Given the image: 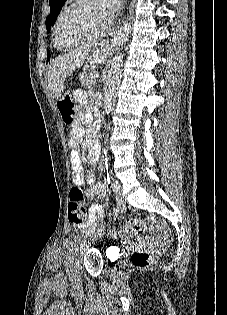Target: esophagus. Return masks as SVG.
<instances>
[{"mask_svg":"<svg viewBox=\"0 0 227 315\" xmlns=\"http://www.w3.org/2000/svg\"><path fill=\"white\" fill-rule=\"evenodd\" d=\"M116 34H117V33H115V34H114V39H116V38H117Z\"/></svg>","mask_w":227,"mask_h":315,"instance_id":"1","label":"esophagus"}]
</instances>
